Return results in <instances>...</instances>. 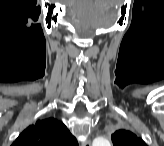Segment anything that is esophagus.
<instances>
[{
  "mask_svg": "<svg viewBox=\"0 0 164 146\" xmlns=\"http://www.w3.org/2000/svg\"><path fill=\"white\" fill-rule=\"evenodd\" d=\"M82 145L83 146H91V142H90V140H86L85 142H83Z\"/></svg>",
  "mask_w": 164,
  "mask_h": 146,
  "instance_id": "34e87169",
  "label": "esophagus"
}]
</instances>
